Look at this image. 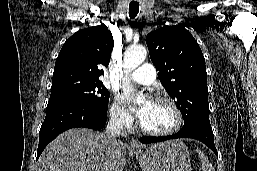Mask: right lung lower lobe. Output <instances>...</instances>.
Returning <instances> with one entry per match:
<instances>
[{
	"instance_id": "1",
	"label": "right lung lower lobe",
	"mask_w": 257,
	"mask_h": 171,
	"mask_svg": "<svg viewBox=\"0 0 257 171\" xmlns=\"http://www.w3.org/2000/svg\"><path fill=\"white\" fill-rule=\"evenodd\" d=\"M107 112L80 101L48 103L44 122L39 132L37 159L44 148L60 133L77 127L101 130L106 123Z\"/></svg>"
}]
</instances>
